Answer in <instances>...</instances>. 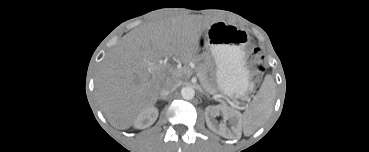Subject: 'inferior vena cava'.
Returning <instances> with one entry per match:
<instances>
[{
    "label": "inferior vena cava",
    "instance_id": "obj_1",
    "mask_svg": "<svg viewBox=\"0 0 369 152\" xmlns=\"http://www.w3.org/2000/svg\"><path fill=\"white\" fill-rule=\"evenodd\" d=\"M179 86L178 81H173L171 79L166 80V82L163 84L160 96L164 98L168 94L172 93L177 87Z\"/></svg>",
    "mask_w": 369,
    "mask_h": 152
}]
</instances>
